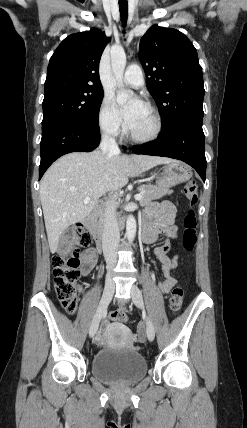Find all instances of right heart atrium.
I'll return each mask as SVG.
<instances>
[{
    "label": "right heart atrium",
    "instance_id": "d8ad5b80",
    "mask_svg": "<svg viewBox=\"0 0 247 428\" xmlns=\"http://www.w3.org/2000/svg\"><path fill=\"white\" fill-rule=\"evenodd\" d=\"M99 127L108 136L117 137L123 131L119 113L110 96H105L98 113Z\"/></svg>",
    "mask_w": 247,
    "mask_h": 428
}]
</instances>
